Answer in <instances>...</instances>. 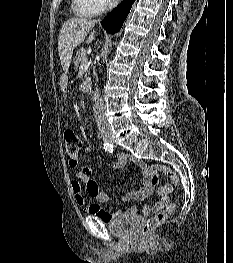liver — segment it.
I'll list each match as a JSON object with an SVG mask.
<instances>
[{"mask_svg": "<svg viewBox=\"0 0 233 263\" xmlns=\"http://www.w3.org/2000/svg\"><path fill=\"white\" fill-rule=\"evenodd\" d=\"M94 25V21L86 18H71L63 24L58 38V52L65 72L69 69L75 47L84 42L89 33L86 42L94 40Z\"/></svg>", "mask_w": 233, "mask_h": 263, "instance_id": "liver-1", "label": "liver"}]
</instances>
